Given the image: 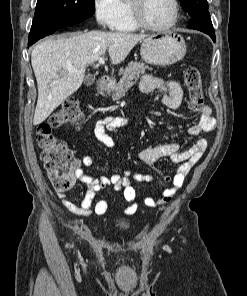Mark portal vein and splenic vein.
<instances>
[{
    "mask_svg": "<svg viewBox=\"0 0 247 296\" xmlns=\"http://www.w3.org/2000/svg\"><path fill=\"white\" fill-rule=\"evenodd\" d=\"M98 62L103 65L105 63L104 57H99ZM69 71L72 73H75V72H77V69L70 68Z\"/></svg>",
    "mask_w": 247,
    "mask_h": 296,
    "instance_id": "18ae733b",
    "label": "portal vein and splenic vein"
}]
</instances>
